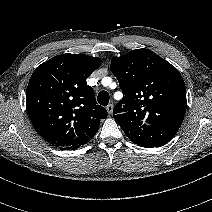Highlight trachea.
Returning a JSON list of instances; mask_svg holds the SVG:
<instances>
[{"label":"trachea","mask_w":212,"mask_h":212,"mask_svg":"<svg viewBox=\"0 0 212 212\" xmlns=\"http://www.w3.org/2000/svg\"><path fill=\"white\" fill-rule=\"evenodd\" d=\"M109 93L107 91H101L98 94L97 100L100 105L106 106L109 103Z\"/></svg>","instance_id":"1"}]
</instances>
